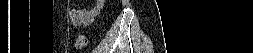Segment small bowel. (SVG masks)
Wrapping results in <instances>:
<instances>
[{
    "label": "small bowel",
    "mask_w": 253,
    "mask_h": 53,
    "mask_svg": "<svg viewBox=\"0 0 253 53\" xmlns=\"http://www.w3.org/2000/svg\"><path fill=\"white\" fill-rule=\"evenodd\" d=\"M102 6V1H98L97 5L88 9L76 8L71 11L70 18L73 24L78 26H87L95 18Z\"/></svg>",
    "instance_id": "c3829d8e"
}]
</instances>
